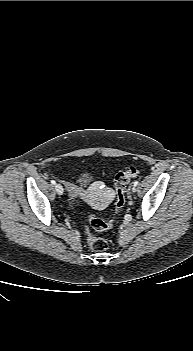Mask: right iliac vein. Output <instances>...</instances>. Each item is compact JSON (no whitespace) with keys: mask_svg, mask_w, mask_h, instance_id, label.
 <instances>
[{"mask_svg":"<svg viewBox=\"0 0 193 351\" xmlns=\"http://www.w3.org/2000/svg\"><path fill=\"white\" fill-rule=\"evenodd\" d=\"M55 190H56V192H57L59 195H62L63 192H64L62 185L59 184V183H57V184L55 185Z\"/></svg>","mask_w":193,"mask_h":351,"instance_id":"obj_1","label":"right iliac vein"}]
</instances>
